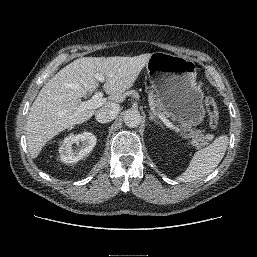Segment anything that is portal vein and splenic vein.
I'll list each match as a JSON object with an SVG mask.
<instances>
[{
    "mask_svg": "<svg viewBox=\"0 0 257 257\" xmlns=\"http://www.w3.org/2000/svg\"><path fill=\"white\" fill-rule=\"evenodd\" d=\"M95 77L100 82H105V77L102 74L96 73ZM106 102V99L103 97L102 92H98L92 96L90 100L81 101L80 106L78 108V112H81L85 109H96L101 107ZM159 118L163 121V123L170 129L179 132L180 129L173 125L161 112H158Z\"/></svg>",
    "mask_w": 257,
    "mask_h": 257,
    "instance_id": "portal-vein-and-splenic-vein-1",
    "label": "portal vein and splenic vein"
}]
</instances>
